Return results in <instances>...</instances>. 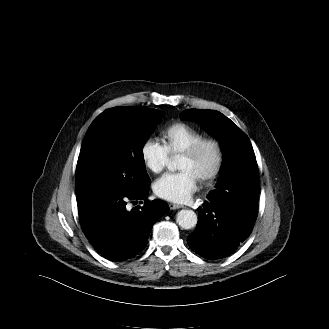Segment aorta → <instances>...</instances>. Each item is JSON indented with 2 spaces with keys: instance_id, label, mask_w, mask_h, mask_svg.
<instances>
[{
  "instance_id": "aorta-1",
  "label": "aorta",
  "mask_w": 329,
  "mask_h": 329,
  "mask_svg": "<svg viewBox=\"0 0 329 329\" xmlns=\"http://www.w3.org/2000/svg\"><path fill=\"white\" fill-rule=\"evenodd\" d=\"M168 169L174 171L176 169V163L169 164ZM197 220V215L192 210H181L177 213L176 217L178 225L186 230L195 227Z\"/></svg>"
}]
</instances>
